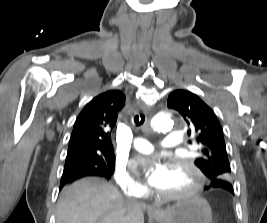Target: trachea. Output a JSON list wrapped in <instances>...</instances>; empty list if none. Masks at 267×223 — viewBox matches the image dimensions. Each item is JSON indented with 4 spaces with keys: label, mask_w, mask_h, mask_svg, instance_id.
<instances>
[{
    "label": "trachea",
    "mask_w": 267,
    "mask_h": 223,
    "mask_svg": "<svg viewBox=\"0 0 267 223\" xmlns=\"http://www.w3.org/2000/svg\"><path fill=\"white\" fill-rule=\"evenodd\" d=\"M145 122V115L143 113L135 114L134 115V123L136 126H141Z\"/></svg>",
    "instance_id": "1"
}]
</instances>
